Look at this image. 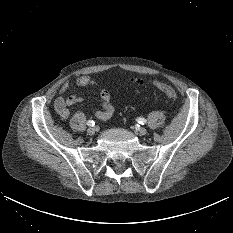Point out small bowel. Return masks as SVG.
I'll use <instances>...</instances> for the list:
<instances>
[{"label":"small bowel","instance_id":"obj_1","mask_svg":"<svg viewBox=\"0 0 233 233\" xmlns=\"http://www.w3.org/2000/svg\"><path fill=\"white\" fill-rule=\"evenodd\" d=\"M76 85L79 87H94L95 82L88 76L82 75L77 78ZM69 82H64L59 89V96L54 102L56 114L63 120H66L70 115V108L82 101V98L77 95L64 97L63 94L69 89ZM100 109L94 112V116L99 120H107L114 113V107L111 103V93L105 88H99Z\"/></svg>","mask_w":233,"mask_h":233}]
</instances>
